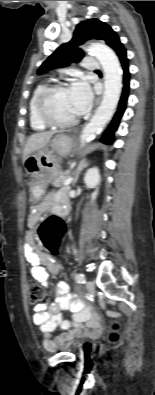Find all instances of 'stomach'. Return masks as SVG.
<instances>
[{
    "label": "stomach",
    "instance_id": "stomach-1",
    "mask_svg": "<svg viewBox=\"0 0 155 395\" xmlns=\"http://www.w3.org/2000/svg\"><path fill=\"white\" fill-rule=\"evenodd\" d=\"M73 140L69 135H56L49 145L30 154L24 162L26 174L31 179V193L34 202H39L49 181L60 173L59 161L53 152L66 155L72 148Z\"/></svg>",
    "mask_w": 155,
    "mask_h": 395
}]
</instances>
